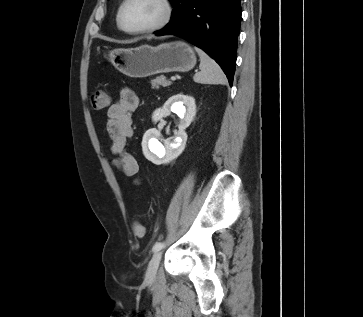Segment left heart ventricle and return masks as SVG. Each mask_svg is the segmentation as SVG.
Listing matches in <instances>:
<instances>
[{
	"mask_svg": "<svg viewBox=\"0 0 363 317\" xmlns=\"http://www.w3.org/2000/svg\"><path fill=\"white\" fill-rule=\"evenodd\" d=\"M162 15L159 0H130L123 12V23L128 29H141L155 24Z\"/></svg>",
	"mask_w": 363,
	"mask_h": 317,
	"instance_id": "b2bd125f",
	"label": "left heart ventricle"
}]
</instances>
